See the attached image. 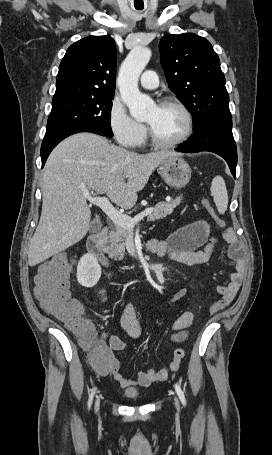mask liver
Wrapping results in <instances>:
<instances>
[{"label": "liver", "instance_id": "1", "mask_svg": "<svg viewBox=\"0 0 272 455\" xmlns=\"http://www.w3.org/2000/svg\"><path fill=\"white\" fill-rule=\"evenodd\" d=\"M178 155L138 154L92 133L62 141L44 167L42 212L29 245L28 264L35 266L85 237L91 219L85 191L106 194L117 206L131 209L152 172L164 159Z\"/></svg>", "mask_w": 272, "mask_h": 455}]
</instances>
